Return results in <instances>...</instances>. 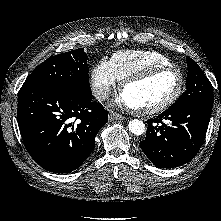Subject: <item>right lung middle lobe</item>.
<instances>
[{
  "mask_svg": "<svg viewBox=\"0 0 221 221\" xmlns=\"http://www.w3.org/2000/svg\"><path fill=\"white\" fill-rule=\"evenodd\" d=\"M37 85L67 87L82 96L92 97L87 54L83 48L48 58L30 74L21 88Z\"/></svg>",
  "mask_w": 221,
  "mask_h": 221,
  "instance_id": "dd1d6c3e",
  "label": "right lung middle lobe"
}]
</instances>
